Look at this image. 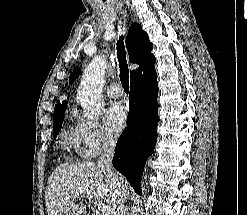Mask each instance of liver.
Instances as JSON below:
<instances>
[{"instance_id": "liver-1", "label": "liver", "mask_w": 247, "mask_h": 215, "mask_svg": "<svg viewBox=\"0 0 247 215\" xmlns=\"http://www.w3.org/2000/svg\"><path fill=\"white\" fill-rule=\"evenodd\" d=\"M118 180L124 189L123 177ZM80 191L83 193L74 197ZM86 191L90 192L94 204L107 203L112 212L114 189L104 168L93 162L65 163L56 167L45 191L48 215H81L86 209L83 203Z\"/></svg>"}]
</instances>
